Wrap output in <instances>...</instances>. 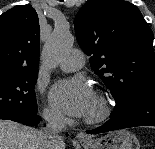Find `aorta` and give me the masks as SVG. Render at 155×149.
<instances>
[{
    "label": "aorta",
    "mask_w": 155,
    "mask_h": 149,
    "mask_svg": "<svg viewBox=\"0 0 155 149\" xmlns=\"http://www.w3.org/2000/svg\"><path fill=\"white\" fill-rule=\"evenodd\" d=\"M74 44V37L68 26H55L45 45L43 56L49 67L53 68L59 59L68 52Z\"/></svg>",
    "instance_id": "obj_1"
}]
</instances>
